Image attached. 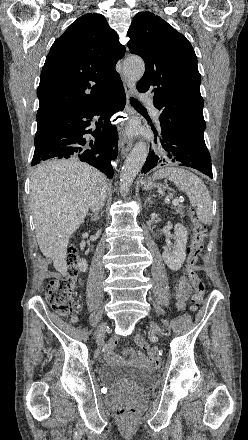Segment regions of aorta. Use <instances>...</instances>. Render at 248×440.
I'll return each instance as SVG.
<instances>
[{
  "instance_id": "762f6f07",
  "label": "aorta",
  "mask_w": 248,
  "mask_h": 440,
  "mask_svg": "<svg viewBox=\"0 0 248 440\" xmlns=\"http://www.w3.org/2000/svg\"><path fill=\"white\" fill-rule=\"evenodd\" d=\"M124 74L133 82L139 81L145 71L144 61L140 57H129L124 62ZM148 155L145 142H138L128 155L120 174L121 192L127 193L135 177L142 169Z\"/></svg>"
}]
</instances>
